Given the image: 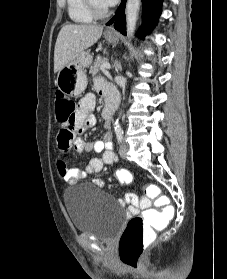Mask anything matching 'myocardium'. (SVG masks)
<instances>
[{
	"mask_svg": "<svg viewBox=\"0 0 227 279\" xmlns=\"http://www.w3.org/2000/svg\"><path fill=\"white\" fill-rule=\"evenodd\" d=\"M83 2L85 4V7L88 10V12L94 18H104L110 12V6H108L107 8H104V9H100L95 5L94 0H83Z\"/></svg>",
	"mask_w": 227,
	"mask_h": 279,
	"instance_id": "obj_1",
	"label": "myocardium"
}]
</instances>
